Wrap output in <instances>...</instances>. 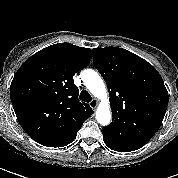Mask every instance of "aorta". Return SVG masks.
Segmentation results:
<instances>
[{"label":"aorta","mask_w":178,"mask_h":178,"mask_svg":"<svg viewBox=\"0 0 178 178\" xmlns=\"http://www.w3.org/2000/svg\"><path fill=\"white\" fill-rule=\"evenodd\" d=\"M82 80L93 96L102 101L96 111L97 122L103 126L108 125L111 121V111L106 86L102 78L96 71L87 69L82 73Z\"/></svg>","instance_id":"aorta-1"}]
</instances>
